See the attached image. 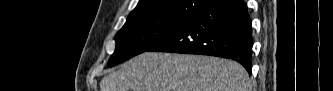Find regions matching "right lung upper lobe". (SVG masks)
<instances>
[{
	"label": "right lung upper lobe",
	"instance_id": "1",
	"mask_svg": "<svg viewBox=\"0 0 333 91\" xmlns=\"http://www.w3.org/2000/svg\"><path fill=\"white\" fill-rule=\"evenodd\" d=\"M205 0H140L129 14L127 21L146 16H182L195 17L205 9Z\"/></svg>",
	"mask_w": 333,
	"mask_h": 91
}]
</instances>
